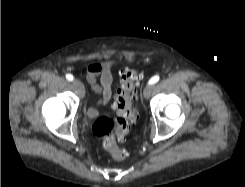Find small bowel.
<instances>
[{"label":"small bowel","mask_w":245,"mask_h":187,"mask_svg":"<svg viewBox=\"0 0 245 187\" xmlns=\"http://www.w3.org/2000/svg\"><path fill=\"white\" fill-rule=\"evenodd\" d=\"M87 80L92 90L97 94L96 106L106 105L112 96L113 65L106 61L92 63L87 67ZM98 111L95 106L88 109V115L93 118Z\"/></svg>","instance_id":"c3829d8e"}]
</instances>
